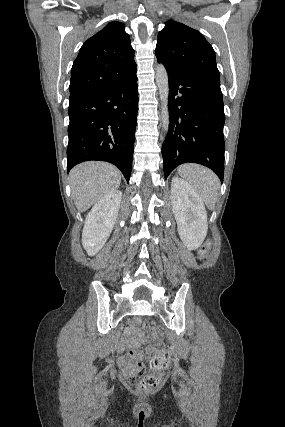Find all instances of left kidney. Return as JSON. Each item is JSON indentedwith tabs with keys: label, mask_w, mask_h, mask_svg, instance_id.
Returning <instances> with one entry per match:
<instances>
[{
	"label": "left kidney",
	"mask_w": 285,
	"mask_h": 427,
	"mask_svg": "<svg viewBox=\"0 0 285 427\" xmlns=\"http://www.w3.org/2000/svg\"><path fill=\"white\" fill-rule=\"evenodd\" d=\"M171 200L181 240L190 250L199 248L208 230L207 213L202 199L187 182L174 176Z\"/></svg>",
	"instance_id": "5707ae66"
}]
</instances>
